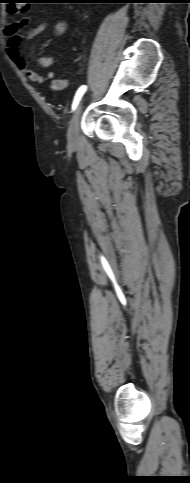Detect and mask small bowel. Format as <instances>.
<instances>
[{
    "mask_svg": "<svg viewBox=\"0 0 190 483\" xmlns=\"http://www.w3.org/2000/svg\"><path fill=\"white\" fill-rule=\"evenodd\" d=\"M31 22L30 18H24L8 24L4 29V34L7 36L6 41V53L14 65L23 71L32 81L43 83L51 81V89L54 91H61L65 89L69 83V80L65 77L54 78L52 71L47 72L45 75L39 74V72L27 65L25 58L22 56L19 45L20 35L19 33L27 27ZM48 28V24L40 23L34 28L26 32L25 36L29 39H33L43 33ZM67 25L64 21H54L51 24V29L54 35H62L66 31ZM36 62L41 67H50L56 63L52 57L41 56L36 59Z\"/></svg>",
    "mask_w": 190,
    "mask_h": 483,
    "instance_id": "c3829d8e",
    "label": "small bowel"
}]
</instances>
